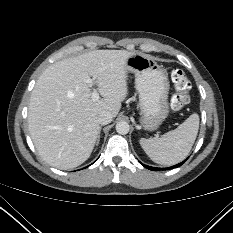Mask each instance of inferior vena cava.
Wrapping results in <instances>:
<instances>
[{
	"label": "inferior vena cava",
	"mask_w": 233,
	"mask_h": 233,
	"mask_svg": "<svg viewBox=\"0 0 233 233\" xmlns=\"http://www.w3.org/2000/svg\"><path fill=\"white\" fill-rule=\"evenodd\" d=\"M112 114L108 111H103L100 113L99 117H98V122L101 125H107L109 123H111L112 121Z\"/></svg>",
	"instance_id": "602c4592"
}]
</instances>
